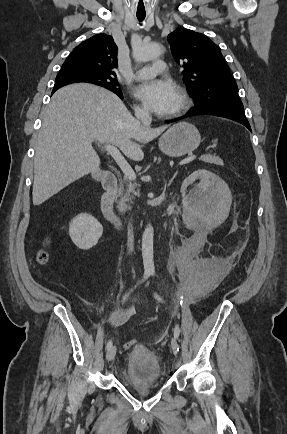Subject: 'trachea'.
Here are the masks:
<instances>
[{
	"label": "trachea",
	"mask_w": 287,
	"mask_h": 434,
	"mask_svg": "<svg viewBox=\"0 0 287 434\" xmlns=\"http://www.w3.org/2000/svg\"><path fill=\"white\" fill-rule=\"evenodd\" d=\"M136 16H137L138 20H139L140 22H142V21L145 19L146 14H136Z\"/></svg>",
	"instance_id": "obj_1"
}]
</instances>
